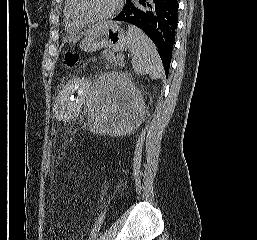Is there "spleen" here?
<instances>
[{
    "instance_id": "spleen-1",
    "label": "spleen",
    "mask_w": 257,
    "mask_h": 240,
    "mask_svg": "<svg viewBox=\"0 0 257 240\" xmlns=\"http://www.w3.org/2000/svg\"><path fill=\"white\" fill-rule=\"evenodd\" d=\"M127 42L132 53V67L139 75L148 74L152 79L163 76V65L157 48L150 38L136 27H128Z\"/></svg>"
}]
</instances>
